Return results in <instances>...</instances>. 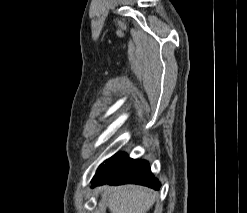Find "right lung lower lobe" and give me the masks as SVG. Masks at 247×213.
Masks as SVG:
<instances>
[{"mask_svg": "<svg viewBox=\"0 0 247 213\" xmlns=\"http://www.w3.org/2000/svg\"><path fill=\"white\" fill-rule=\"evenodd\" d=\"M103 184H139L155 190L160 187L147 161L134 160L122 153L115 154L99 167L92 180V187Z\"/></svg>", "mask_w": 247, "mask_h": 213, "instance_id": "98d812e1", "label": "right lung lower lobe"}]
</instances>
